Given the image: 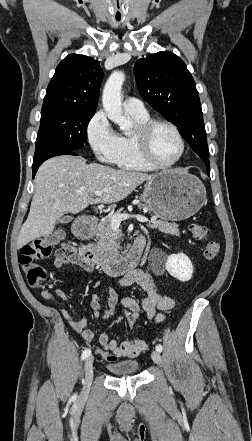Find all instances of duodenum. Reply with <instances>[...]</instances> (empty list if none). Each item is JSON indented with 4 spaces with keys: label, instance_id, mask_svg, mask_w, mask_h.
<instances>
[{
    "label": "duodenum",
    "instance_id": "duodenum-1",
    "mask_svg": "<svg viewBox=\"0 0 252 441\" xmlns=\"http://www.w3.org/2000/svg\"><path fill=\"white\" fill-rule=\"evenodd\" d=\"M97 221L95 216H88L85 224H76L73 227L74 234L81 239H88ZM144 244L145 240L141 239L128 253L119 257L100 254L91 245L81 244L78 248V254L84 262L98 266L107 275L116 276L129 273L137 266Z\"/></svg>",
    "mask_w": 252,
    "mask_h": 441
}]
</instances>
